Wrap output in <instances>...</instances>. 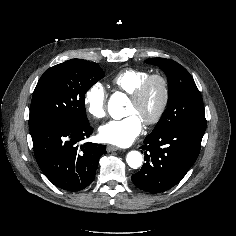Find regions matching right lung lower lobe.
<instances>
[{"label": "right lung lower lobe", "mask_w": 236, "mask_h": 236, "mask_svg": "<svg viewBox=\"0 0 236 236\" xmlns=\"http://www.w3.org/2000/svg\"><path fill=\"white\" fill-rule=\"evenodd\" d=\"M29 128L36 161L52 184L75 192L92 183L106 147L90 142L76 145L92 134L89 121L37 119L29 121Z\"/></svg>", "instance_id": "right-lung-lower-lobe-1"}]
</instances>
